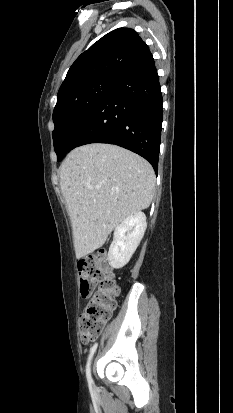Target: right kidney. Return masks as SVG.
I'll return each instance as SVG.
<instances>
[{"label": "right kidney", "instance_id": "right-kidney-1", "mask_svg": "<svg viewBox=\"0 0 233 413\" xmlns=\"http://www.w3.org/2000/svg\"><path fill=\"white\" fill-rule=\"evenodd\" d=\"M146 227L145 214L137 212L115 228L113 242L108 252V261L111 267L119 269L129 262L144 236Z\"/></svg>", "mask_w": 233, "mask_h": 413}]
</instances>
